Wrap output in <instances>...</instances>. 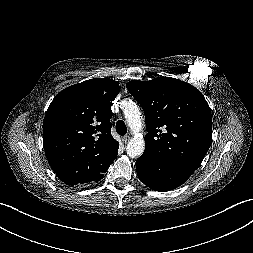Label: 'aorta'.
Masks as SVG:
<instances>
[{"label": "aorta", "mask_w": 253, "mask_h": 253, "mask_svg": "<svg viewBox=\"0 0 253 253\" xmlns=\"http://www.w3.org/2000/svg\"><path fill=\"white\" fill-rule=\"evenodd\" d=\"M124 115L133 133L132 139L127 144L126 152L129 157L135 158L142 155L145 149L143 135L140 133L142 128L141 112L135 103L130 102L124 108Z\"/></svg>", "instance_id": "1"}]
</instances>
